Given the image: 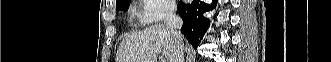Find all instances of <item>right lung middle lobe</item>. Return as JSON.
<instances>
[{
	"label": "right lung middle lobe",
	"instance_id": "obj_1",
	"mask_svg": "<svg viewBox=\"0 0 331 62\" xmlns=\"http://www.w3.org/2000/svg\"><path fill=\"white\" fill-rule=\"evenodd\" d=\"M129 8V2L127 0H122L118 3H116V9L117 10H123L126 11Z\"/></svg>",
	"mask_w": 331,
	"mask_h": 62
}]
</instances>
